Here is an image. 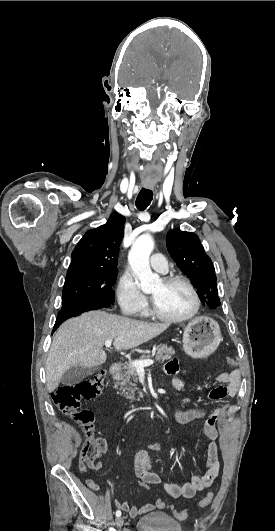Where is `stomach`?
Here are the masks:
<instances>
[{
	"mask_svg": "<svg viewBox=\"0 0 275 531\" xmlns=\"http://www.w3.org/2000/svg\"><path fill=\"white\" fill-rule=\"evenodd\" d=\"M222 341L217 321L209 317H196L188 323L183 333V351L193 359H205L218 349Z\"/></svg>",
	"mask_w": 275,
	"mask_h": 531,
	"instance_id": "obj_1",
	"label": "stomach"
}]
</instances>
